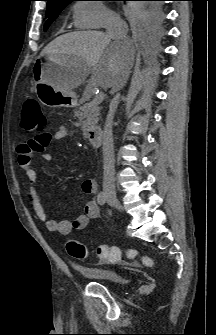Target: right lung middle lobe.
<instances>
[{
    "mask_svg": "<svg viewBox=\"0 0 216 335\" xmlns=\"http://www.w3.org/2000/svg\"><path fill=\"white\" fill-rule=\"evenodd\" d=\"M70 2H60L47 5L46 18L44 30H47L49 25L58 17V14ZM139 18L143 25L151 30H157L163 20L162 4L159 2H150L144 4L139 10Z\"/></svg>",
    "mask_w": 216,
    "mask_h": 335,
    "instance_id": "dd1d6c3e",
    "label": "right lung middle lobe"
}]
</instances>
